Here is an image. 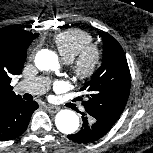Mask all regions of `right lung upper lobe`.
Wrapping results in <instances>:
<instances>
[{
  "instance_id": "cb5924a9",
  "label": "right lung upper lobe",
  "mask_w": 153,
  "mask_h": 153,
  "mask_svg": "<svg viewBox=\"0 0 153 153\" xmlns=\"http://www.w3.org/2000/svg\"><path fill=\"white\" fill-rule=\"evenodd\" d=\"M37 36V33L14 26L0 29V108L11 100L21 98L12 91L11 77L21 73L26 50Z\"/></svg>"
}]
</instances>
